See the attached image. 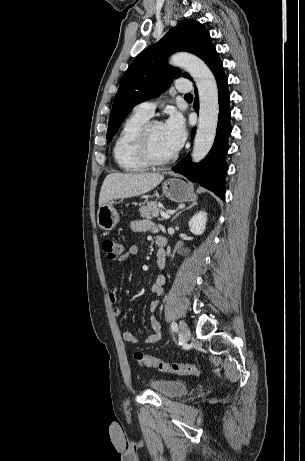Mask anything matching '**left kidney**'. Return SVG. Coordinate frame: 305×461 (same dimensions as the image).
Returning <instances> with one entry per match:
<instances>
[{"label":"left kidney","instance_id":"obj_1","mask_svg":"<svg viewBox=\"0 0 305 461\" xmlns=\"http://www.w3.org/2000/svg\"><path fill=\"white\" fill-rule=\"evenodd\" d=\"M207 222V213L206 212H199L194 215L191 220L189 221V229L195 235L203 234L206 228Z\"/></svg>","mask_w":305,"mask_h":461}]
</instances>
